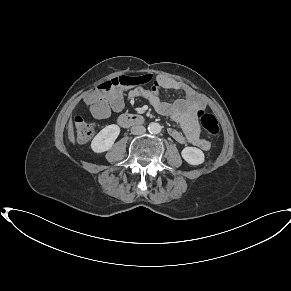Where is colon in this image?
I'll use <instances>...</instances> for the list:
<instances>
[{"instance_id":"colon-1","label":"colon","mask_w":291,"mask_h":291,"mask_svg":"<svg viewBox=\"0 0 291 291\" xmlns=\"http://www.w3.org/2000/svg\"><path fill=\"white\" fill-rule=\"evenodd\" d=\"M143 82H145V80L141 77L119 76L100 83L96 91L99 94H103L114 89L126 88ZM197 115L200 119L202 128L207 134L210 136H217L219 134V124L213 114L205 112L204 110H199ZM74 126L76 139L81 144L88 142L95 132V125L87 121L82 115H78L74 118Z\"/></svg>"}]
</instances>
